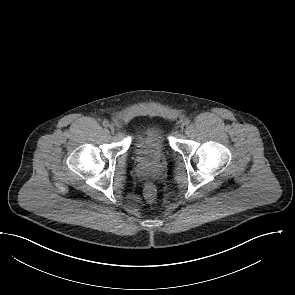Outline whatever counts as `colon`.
<instances>
[{"instance_id": "1", "label": "colon", "mask_w": 295, "mask_h": 295, "mask_svg": "<svg viewBox=\"0 0 295 295\" xmlns=\"http://www.w3.org/2000/svg\"><path fill=\"white\" fill-rule=\"evenodd\" d=\"M156 195H157L156 187L151 183L146 184L144 187L145 198L151 202V201H154V199L156 198Z\"/></svg>"}]
</instances>
